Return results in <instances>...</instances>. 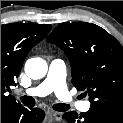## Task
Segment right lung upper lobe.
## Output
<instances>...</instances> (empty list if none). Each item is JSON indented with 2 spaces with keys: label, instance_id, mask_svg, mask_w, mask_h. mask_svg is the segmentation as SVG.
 <instances>
[{
  "label": "right lung upper lobe",
  "instance_id": "cb5924a9",
  "mask_svg": "<svg viewBox=\"0 0 123 123\" xmlns=\"http://www.w3.org/2000/svg\"><path fill=\"white\" fill-rule=\"evenodd\" d=\"M52 29L51 25L12 23L1 25V109L21 105L10 94L16 86L28 52Z\"/></svg>",
  "mask_w": 123,
  "mask_h": 123
}]
</instances>
